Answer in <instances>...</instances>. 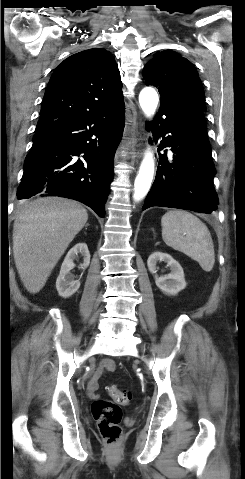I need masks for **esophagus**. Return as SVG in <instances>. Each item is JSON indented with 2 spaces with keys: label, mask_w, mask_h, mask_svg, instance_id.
I'll list each match as a JSON object with an SVG mask.
<instances>
[{
  "label": "esophagus",
  "mask_w": 245,
  "mask_h": 479,
  "mask_svg": "<svg viewBox=\"0 0 245 479\" xmlns=\"http://www.w3.org/2000/svg\"><path fill=\"white\" fill-rule=\"evenodd\" d=\"M133 136H134L133 140H131L128 143V148H129V150L131 151L132 154H136V151L139 148L138 138H137V136H138L137 129L134 130Z\"/></svg>",
  "instance_id": "34e87169"
}]
</instances>
